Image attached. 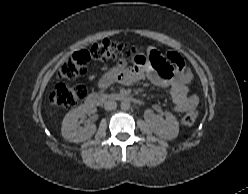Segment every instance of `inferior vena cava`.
Instances as JSON below:
<instances>
[{
    "instance_id": "1",
    "label": "inferior vena cava",
    "mask_w": 248,
    "mask_h": 194,
    "mask_svg": "<svg viewBox=\"0 0 248 194\" xmlns=\"http://www.w3.org/2000/svg\"><path fill=\"white\" fill-rule=\"evenodd\" d=\"M116 107H117V103L115 101H112V100H108L104 104L105 110H108V111L114 110V109H116Z\"/></svg>"
}]
</instances>
